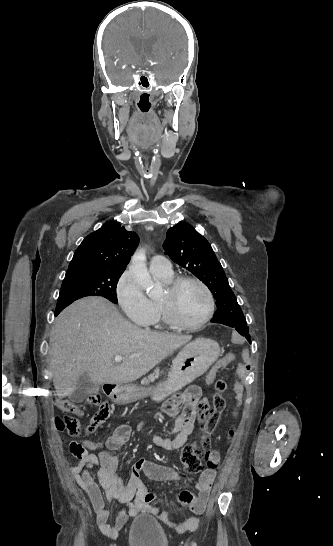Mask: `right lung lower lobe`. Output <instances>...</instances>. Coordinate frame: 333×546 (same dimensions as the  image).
<instances>
[{"label":"right lung lower lobe","mask_w":333,"mask_h":546,"mask_svg":"<svg viewBox=\"0 0 333 546\" xmlns=\"http://www.w3.org/2000/svg\"><path fill=\"white\" fill-rule=\"evenodd\" d=\"M63 310V309H62ZM62 310L55 311V316H57Z\"/></svg>","instance_id":"right-lung-lower-lobe-1"}]
</instances>
